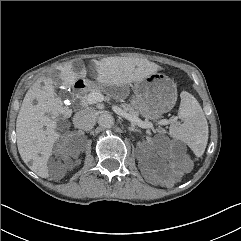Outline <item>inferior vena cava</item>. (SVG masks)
Segmentation results:
<instances>
[{
    "mask_svg": "<svg viewBox=\"0 0 241 241\" xmlns=\"http://www.w3.org/2000/svg\"><path fill=\"white\" fill-rule=\"evenodd\" d=\"M96 118L97 114L94 109H83L74 115L73 124L78 129L89 131L94 127Z\"/></svg>",
    "mask_w": 241,
    "mask_h": 241,
    "instance_id": "inferior-vena-cava-1",
    "label": "inferior vena cava"
}]
</instances>
